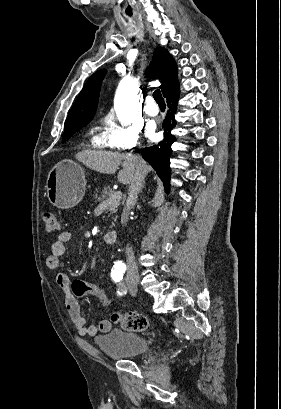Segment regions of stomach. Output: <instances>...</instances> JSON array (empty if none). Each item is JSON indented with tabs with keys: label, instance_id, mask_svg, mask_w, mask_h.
I'll list each match as a JSON object with an SVG mask.
<instances>
[{
	"label": "stomach",
	"instance_id": "0dacf381",
	"mask_svg": "<svg viewBox=\"0 0 281 409\" xmlns=\"http://www.w3.org/2000/svg\"><path fill=\"white\" fill-rule=\"evenodd\" d=\"M85 170L69 158L57 162L46 180V194L57 209H71L82 200L86 190Z\"/></svg>",
	"mask_w": 281,
	"mask_h": 409
}]
</instances>
